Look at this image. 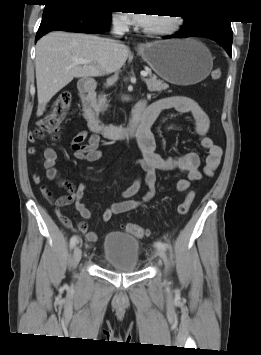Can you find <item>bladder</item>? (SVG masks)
I'll return each mask as SVG.
<instances>
[{
	"label": "bladder",
	"instance_id": "1",
	"mask_svg": "<svg viewBox=\"0 0 261 355\" xmlns=\"http://www.w3.org/2000/svg\"><path fill=\"white\" fill-rule=\"evenodd\" d=\"M104 260L122 272L139 270V243L133 236L110 232L104 240Z\"/></svg>",
	"mask_w": 261,
	"mask_h": 355
}]
</instances>
